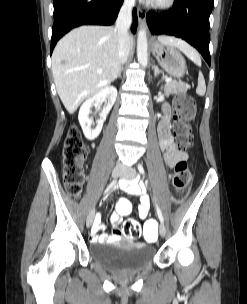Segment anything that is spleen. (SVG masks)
Instances as JSON below:
<instances>
[{
    "instance_id": "1",
    "label": "spleen",
    "mask_w": 247,
    "mask_h": 304,
    "mask_svg": "<svg viewBox=\"0 0 247 304\" xmlns=\"http://www.w3.org/2000/svg\"><path fill=\"white\" fill-rule=\"evenodd\" d=\"M187 56L197 65H201V59H200L198 53H191L190 55H187ZM205 92H206L205 79H204L202 72L200 71L199 75H198V86L196 88V93L199 96H204Z\"/></svg>"
}]
</instances>
